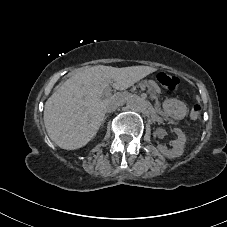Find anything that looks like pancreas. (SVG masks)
Instances as JSON below:
<instances>
[{"label": "pancreas", "instance_id": "pancreas-1", "mask_svg": "<svg viewBox=\"0 0 227 227\" xmlns=\"http://www.w3.org/2000/svg\"><path fill=\"white\" fill-rule=\"evenodd\" d=\"M141 85L142 87L145 89V90H148L151 92V99L153 101V106L154 108H156V112L157 114H159L161 117H163L164 119H167V121L172 125V126H176L177 125V122L174 121L173 118L171 117H168V114L166 113V111H164L162 108H160V104L156 98V90L153 86L151 85H148L146 81H142L141 82ZM168 117V118H167Z\"/></svg>", "mask_w": 227, "mask_h": 227}]
</instances>
